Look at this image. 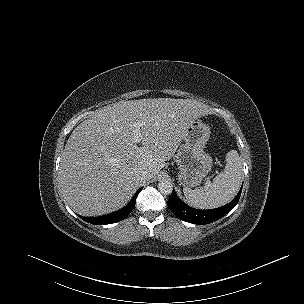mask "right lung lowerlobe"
I'll list each match as a JSON object with an SVG mask.
<instances>
[{
	"label": "right lung lower lobe",
	"instance_id": "1",
	"mask_svg": "<svg viewBox=\"0 0 304 304\" xmlns=\"http://www.w3.org/2000/svg\"><path fill=\"white\" fill-rule=\"evenodd\" d=\"M142 190V188L138 189V191L135 193L131 201L121 210L105 215V216H100V217H92V218H86V217H81L84 221L95 224V225H105V224H112L118 221H121L125 219L130 212L133 210L136 202V198L139 194V192Z\"/></svg>",
	"mask_w": 304,
	"mask_h": 304
}]
</instances>
